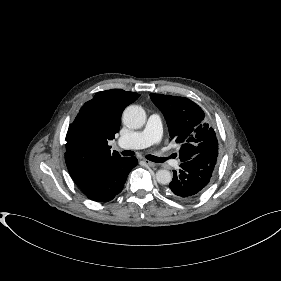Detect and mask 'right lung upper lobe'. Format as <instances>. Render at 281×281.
I'll list each match as a JSON object with an SVG mask.
<instances>
[{
    "label": "right lung upper lobe",
    "instance_id": "cb5924a9",
    "mask_svg": "<svg viewBox=\"0 0 281 281\" xmlns=\"http://www.w3.org/2000/svg\"><path fill=\"white\" fill-rule=\"evenodd\" d=\"M139 96L120 89L98 92L70 124L65 161L80 189L93 183L108 165L122 158L117 152H110L108 141L119 131L123 110Z\"/></svg>",
    "mask_w": 281,
    "mask_h": 281
}]
</instances>
